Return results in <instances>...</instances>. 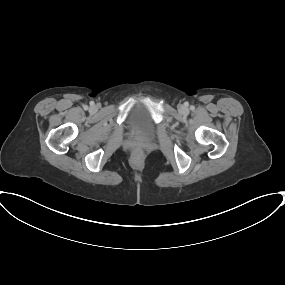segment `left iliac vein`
Listing matches in <instances>:
<instances>
[{"instance_id":"4c4485c4","label":"left iliac vein","mask_w":285,"mask_h":285,"mask_svg":"<svg viewBox=\"0 0 285 285\" xmlns=\"http://www.w3.org/2000/svg\"><path fill=\"white\" fill-rule=\"evenodd\" d=\"M179 111L182 112V113H187L188 109L185 106L180 105L179 106Z\"/></svg>"}]
</instances>
